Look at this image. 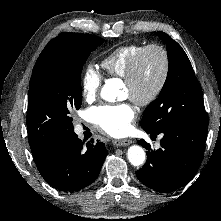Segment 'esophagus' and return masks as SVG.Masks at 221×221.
I'll list each match as a JSON object with an SVG mask.
<instances>
[{"label": "esophagus", "mask_w": 221, "mask_h": 221, "mask_svg": "<svg viewBox=\"0 0 221 221\" xmlns=\"http://www.w3.org/2000/svg\"><path fill=\"white\" fill-rule=\"evenodd\" d=\"M113 145L115 147H120V146H128L131 144V140L123 139V140H118L115 139L112 141Z\"/></svg>", "instance_id": "34e87169"}]
</instances>
